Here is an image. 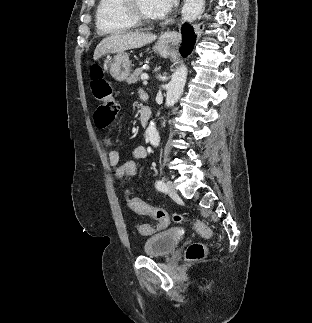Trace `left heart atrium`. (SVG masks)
Returning <instances> with one entry per match:
<instances>
[{"mask_svg":"<svg viewBox=\"0 0 312 323\" xmlns=\"http://www.w3.org/2000/svg\"><path fill=\"white\" fill-rule=\"evenodd\" d=\"M153 12H174L178 7V0H154Z\"/></svg>","mask_w":312,"mask_h":323,"instance_id":"left-heart-atrium-1","label":"left heart atrium"}]
</instances>
